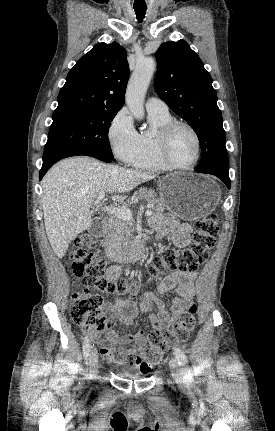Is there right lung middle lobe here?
<instances>
[{
    "mask_svg": "<svg viewBox=\"0 0 275 431\" xmlns=\"http://www.w3.org/2000/svg\"><path fill=\"white\" fill-rule=\"evenodd\" d=\"M117 113L114 110L94 109L54 113L45 150L84 147L114 159L108 130Z\"/></svg>",
    "mask_w": 275,
    "mask_h": 431,
    "instance_id": "1",
    "label": "right lung middle lobe"
}]
</instances>
